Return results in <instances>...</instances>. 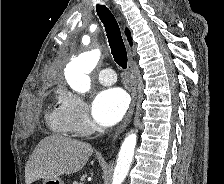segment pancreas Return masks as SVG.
Segmentation results:
<instances>
[{"label":"pancreas","instance_id":"obj_1","mask_svg":"<svg viewBox=\"0 0 224 184\" xmlns=\"http://www.w3.org/2000/svg\"><path fill=\"white\" fill-rule=\"evenodd\" d=\"M72 184H83V183H81V182H73Z\"/></svg>","mask_w":224,"mask_h":184}]
</instances>
